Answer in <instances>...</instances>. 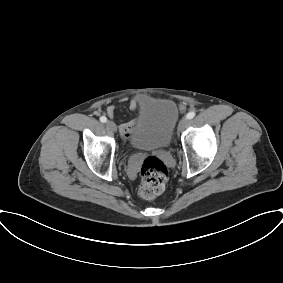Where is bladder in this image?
<instances>
[{
	"instance_id": "obj_1",
	"label": "bladder",
	"mask_w": 283,
	"mask_h": 283,
	"mask_svg": "<svg viewBox=\"0 0 283 283\" xmlns=\"http://www.w3.org/2000/svg\"><path fill=\"white\" fill-rule=\"evenodd\" d=\"M179 111L170 99L151 101L140 113L132 142L138 149H164L170 146Z\"/></svg>"
}]
</instances>
